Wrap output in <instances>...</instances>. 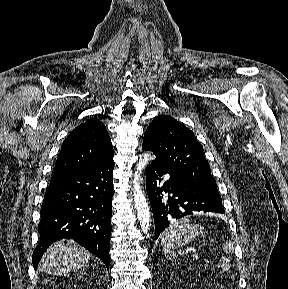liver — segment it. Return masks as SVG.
<instances>
[{"instance_id":"obj_1","label":"liver","mask_w":288,"mask_h":289,"mask_svg":"<svg viewBox=\"0 0 288 289\" xmlns=\"http://www.w3.org/2000/svg\"><path fill=\"white\" fill-rule=\"evenodd\" d=\"M90 252L71 241L53 243L44 253L41 270L52 275L67 274L88 264Z\"/></svg>"}]
</instances>
